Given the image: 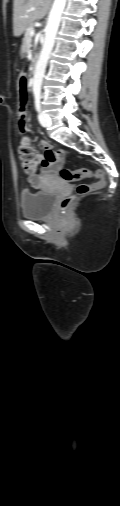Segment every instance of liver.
<instances>
[{"label": "liver", "instance_id": "obj_1", "mask_svg": "<svg viewBox=\"0 0 120 506\" xmlns=\"http://www.w3.org/2000/svg\"><path fill=\"white\" fill-rule=\"evenodd\" d=\"M50 4L51 0H14V36H21L33 21L44 18L49 10ZM30 7H35V10L27 12Z\"/></svg>", "mask_w": 120, "mask_h": 506}]
</instances>
